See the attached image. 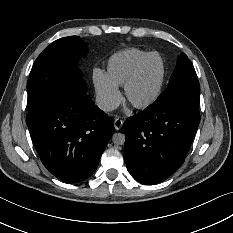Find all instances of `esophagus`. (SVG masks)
<instances>
[{
    "label": "esophagus",
    "mask_w": 233,
    "mask_h": 233,
    "mask_svg": "<svg viewBox=\"0 0 233 233\" xmlns=\"http://www.w3.org/2000/svg\"><path fill=\"white\" fill-rule=\"evenodd\" d=\"M123 121L121 118H116L114 121V126L116 130H120V128L122 127Z\"/></svg>",
    "instance_id": "1"
}]
</instances>
